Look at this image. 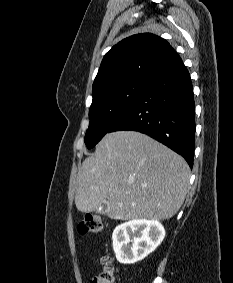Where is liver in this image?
I'll use <instances>...</instances> for the list:
<instances>
[{
    "instance_id": "obj_1",
    "label": "liver",
    "mask_w": 233,
    "mask_h": 283,
    "mask_svg": "<svg viewBox=\"0 0 233 283\" xmlns=\"http://www.w3.org/2000/svg\"><path fill=\"white\" fill-rule=\"evenodd\" d=\"M190 168L180 155L136 131L108 133L78 172L75 205H105L115 220L173 217L189 188Z\"/></svg>"
}]
</instances>
